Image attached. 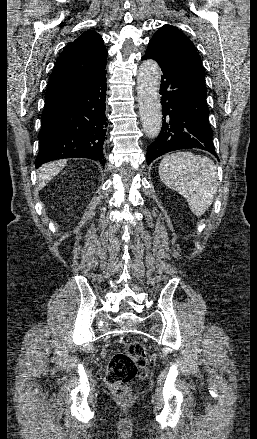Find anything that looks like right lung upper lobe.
I'll use <instances>...</instances> for the list:
<instances>
[{"mask_svg":"<svg viewBox=\"0 0 257 439\" xmlns=\"http://www.w3.org/2000/svg\"><path fill=\"white\" fill-rule=\"evenodd\" d=\"M98 33L86 31L69 43L57 58L46 95L90 80L106 67L107 50Z\"/></svg>","mask_w":257,"mask_h":439,"instance_id":"obj_1","label":"right lung upper lobe"}]
</instances>
